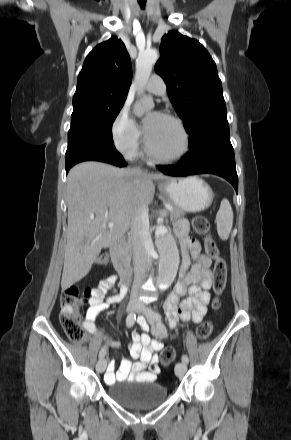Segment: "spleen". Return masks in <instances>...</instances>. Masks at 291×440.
<instances>
[{
	"label": "spleen",
	"mask_w": 291,
	"mask_h": 440,
	"mask_svg": "<svg viewBox=\"0 0 291 440\" xmlns=\"http://www.w3.org/2000/svg\"><path fill=\"white\" fill-rule=\"evenodd\" d=\"M217 233L222 240H227L233 226V211L229 201L224 198L216 215Z\"/></svg>",
	"instance_id": "obj_1"
}]
</instances>
